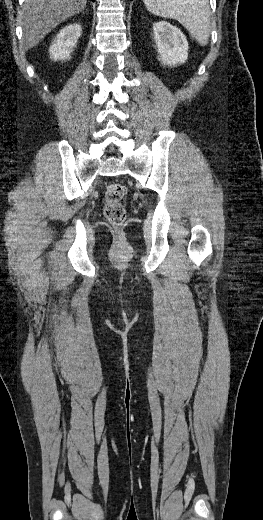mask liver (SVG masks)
Here are the masks:
<instances>
[{
	"label": "liver",
	"mask_w": 263,
	"mask_h": 520,
	"mask_svg": "<svg viewBox=\"0 0 263 520\" xmlns=\"http://www.w3.org/2000/svg\"><path fill=\"white\" fill-rule=\"evenodd\" d=\"M87 0H24L20 19L23 29L22 46H36L61 22L80 13Z\"/></svg>",
	"instance_id": "6515ba94"
}]
</instances>
